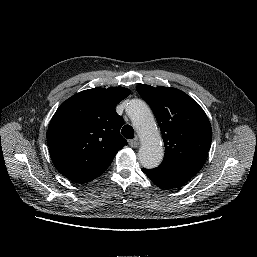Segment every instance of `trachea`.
<instances>
[{"label":"trachea","mask_w":257,"mask_h":257,"mask_svg":"<svg viewBox=\"0 0 257 257\" xmlns=\"http://www.w3.org/2000/svg\"><path fill=\"white\" fill-rule=\"evenodd\" d=\"M121 133L126 139H132L134 137V129L130 125H125Z\"/></svg>","instance_id":"trachea-1"}]
</instances>
